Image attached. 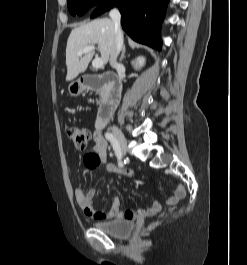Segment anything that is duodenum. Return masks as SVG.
<instances>
[{"label":"duodenum","mask_w":247,"mask_h":265,"mask_svg":"<svg viewBox=\"0 0 247 265\" xmlns=\"http://www.w3.org/2000/svg\"><path fill=\"white\" fill-rule=\"evenodd\" d=\"M81 86L84 89L104 90V100L99 108L95 126L99 129L115 111L122 92L121 80L111 72L98 75L87 74L81 78Z\"/></svg>","instance_id":"410a0bca"}]
</instances>
